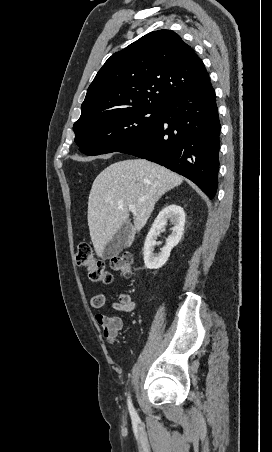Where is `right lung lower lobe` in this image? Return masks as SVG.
<instances>
[{
  "mask_svg": "<svg viewBox=\"0 0 272 452\" xmlns=\"http://www.w3.org/2000/svg\"><path fill=\"white\" fill-rule=\"evenodd\" d=\"M220 122L210 80L162 107L157 122L118 152L158 163L213 199L218 186Z\"/></svg>",
  "mask_w": 272,
  "mask_h": 452,
  "instance_id": "obj_1",
  "label": "right lung lower lobe"
}]
</instances>
